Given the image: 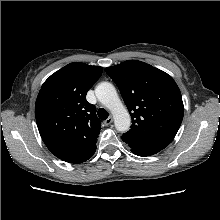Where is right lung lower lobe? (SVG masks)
I'll return each mask as SVG.
<instances>
[{"label": "right lung lower lobe", "instance_id": "98d812e1", "mask_svg": "<svg viewBox=\"0 0 220 220\" xmlns=\"http://www.w3.org/2000/svg\"><path fill=\"white\" fill-rule=\"evenodd\" d=\"M94 153H95V152H94ZM94 153H93V154H94ZM93 154H92L90 157H92V156H93ZM90 157H89V158H90ZM89 158H88V159H89ZM88 159H87V160H88Z\"/></svg>", "mask_w": 220, "mask_h": 220}]
</instances>
